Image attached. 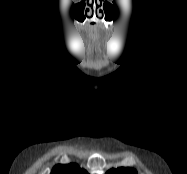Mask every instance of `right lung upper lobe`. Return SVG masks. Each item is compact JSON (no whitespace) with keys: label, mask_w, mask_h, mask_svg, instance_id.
Returning a JSON list of instances; mask_svg holds the SVG:
<instances>
[{"label":"right lung upper lobe","mask_w":187,"mask_h":174,"mask_svg":"<svg viewBox=\"0 0 187 174\" xmlns=\"http://www.w3.org/2000/svg\"><path fill=\"white\" fill-rule=\"evenodd\" d=\"M51 174H88L84 169H80L77 164L56 165Z\"/></svg>","instance_id":"right-lung-upper-lobe-1"}]
</instances>
